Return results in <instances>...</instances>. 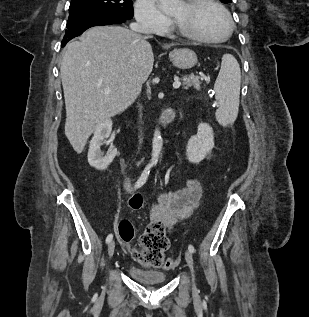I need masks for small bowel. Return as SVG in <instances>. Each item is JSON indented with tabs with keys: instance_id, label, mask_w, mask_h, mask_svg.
<instances>
[{
	"instance_id": "obj_1",
	"label": "small bowel",
	"mask_w": 309,
	"mask_h": 317,
	"mask_svg": "<svg viewBox=\"0 0 309 317\" xmlns=\"http://www.w3.org/2000/svg\"><path fill=\"white\" fill-rule=\"evenodd\" d=\"M125 188L132 192L129 179L125 180ZM202 188L197 180L191 179L187 186L175 192H160L152 207L154 221L161 222L171 229L179 220L187 218L199 205Z\"/></svg>"
}]
</instances>
